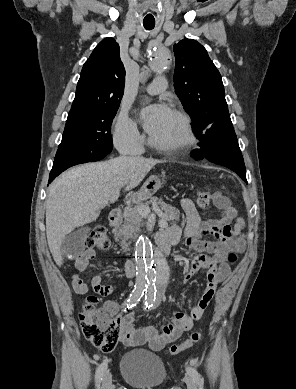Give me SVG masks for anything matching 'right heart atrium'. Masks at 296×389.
I'll list each match as a JSON object with an SVG mask.
<instances>
[{"label": "right heart atrium", "instance_id": "right-heart-atrium-1", "mask_svg": "<svg viewBox=\"0 0 296 389\" xmlns=\"http://www.w3.org/2000/svg\"><path fill=\"white\" fill-rule=\"evenodd\" d=\"M113 141L122 152L131 151L142 144V136L137 124L126 110H120L115 118Z\"/></svg>", "mask_w": 296, "mask_h": 389}]
</instances>
